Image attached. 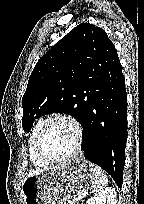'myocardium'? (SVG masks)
Wrapping results in <instances>:
<instances>
[{
  "instance_id": "1",
  "label": "myocardium",
  "mask_w": 144,
  "mask_h": 204,
  "mask_svg": "<svg viewBox=\"0 0 144 204\" xmlns=\"http://www.w3.org/2000/svg\"><path fill=\"white\" fill-rule=\"evenodd\" d=\"M56 121H64V122L69 123L74 128L75 135H76V142H75V147L73 151L70 154L64 157H60V158H53V157L48 156L44 152L43 147H42V142H43V138L45 136L46 131L48 130L50 125ZM82 144H83V129H82L81 123L75 117L71 115L56 114L46 119L44 124L40 128L37 134L35 148H36L37 155L45 162L63 163V162H67L69 160L74 159L81 152Z\"/></svg>"
}]
</instances>
